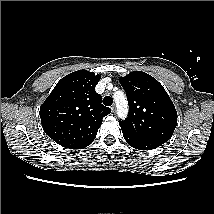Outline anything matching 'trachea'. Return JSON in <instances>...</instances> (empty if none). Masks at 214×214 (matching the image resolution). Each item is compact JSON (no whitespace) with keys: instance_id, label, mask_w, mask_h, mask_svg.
<instances>
[{"instance_id":"obj_1","label":"trachea","mask_w":214,"mask_h":214,"mask_svg":"<svg viewBox=\"0 0 214 214\" xmlns=\"http://www.w3.org/2000/svg\"><path fill=\"white\" fill-rule=\"evenodd\" d=\"M113 103V100L110 96H105L104 99H103V104L105 106H111Z\"/></svg>"}]
</instances>
